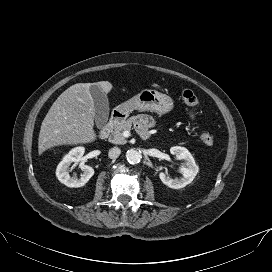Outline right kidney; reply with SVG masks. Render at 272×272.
I'll return each mask as SVG.
<instances>
[{
  "mask_svg": "<svg viewBox=\"0 0 272 272\" xmlns=\"http://www.w3.org/2000/svg\"><path fill=\"white\" fill-rule=\"evenodd\" d=\"M84 152V147H76L72 149L67 155L64 156L63 160L57 166L56 176L58 180L67 187H82L94 175V169L91 166L85 165L83 163L80 164V168L83 170L80 178L77 176L71 177L68 173L70 164L72 162L80 161Z\"/></svg>",
  "mask_w": 272,
  "mask_h": 272,
  "instance_id": "right-kidney-1",
  "label": "right kidney"
}]
</instances>
